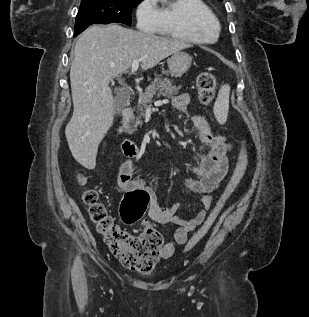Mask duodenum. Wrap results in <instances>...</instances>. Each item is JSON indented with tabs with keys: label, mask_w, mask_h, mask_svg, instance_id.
I'll return each instance as SVG.
<instances>
[{
	"label": "duodenum",
	"mask_w": 309,
	"mask_h": 317,
	"mask_svg": "<svg viewBox=\"0 0 309 317\" xmlns=\"http://www.w3.org/2000/svg\"><path fill=\"white\" fill-rule=\"evenodd\" d=\"M133 115V108L128 106L125 107L122 111V118L124 121L129 120ZM120 132H122V128H120L119 130ZM122 149L124 151V153L128 156H136L138 154H140V149L129 139H125L122 143Z\"/></svg>",
	"instance_id": "1"
}]
</instances>
